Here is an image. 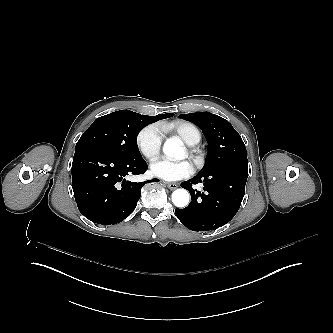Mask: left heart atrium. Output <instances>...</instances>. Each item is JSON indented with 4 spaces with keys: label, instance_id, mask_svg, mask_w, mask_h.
<instances>
[{
    "label": "left heart atrium",
    "instance_id": "1",
    "mask_svg": "<svg viewBox=\"0 0 333 333\" xmlns=\"http://www.w3.org/2000/svg\"><path fill=\"white\" fill-rule=\"evenodd\" d=\"M151 173L167 181H178L192 176L194 166L189 161L170 162L161 160L152 166Z\"/></svg>",
    "mask_w": 333,
    "mask_h": 333
}]
</instances>
